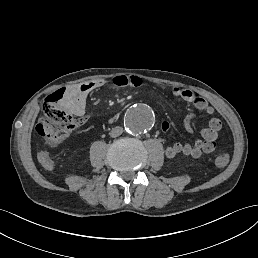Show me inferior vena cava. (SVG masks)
Instances as JSON below:
<instances>
[{
	"label": "inferior vena cava",
	"instance_id": "obj_1",
	"mask_svg": "<svg viewBox=\"0 0 258 258\" xmlns=\"http://www.w3.org/2000/svg\"><path fill=\"white\" fill-rule=\"evenodd\" d=\"M123 132V128L120 127V126H116L114 127L111 132H110V136L115 138V137H118L119 135H121Z\"/></svg>",
	"mask_w": 258,
	"mask_h": 258
}]
</instances>
